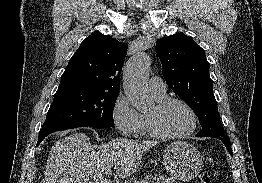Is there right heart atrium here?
<instances>
[{
    "label": "right heart atrium",
    "mask_w": 262,
    "mask_h": 183,
    "mask_svg": "<svg viewBox=\"0 0 262 183\" xmlns=\"http://www.w3.org/2000/svg\"><path fill=\"white\" fill-rule=\"evenodd\" d=\"M111 116L116 130L123 136H135L141 127V114L122 94L115 99Z\"/></svg>",
    "instance_id": "d8ad5b80"
}]
</instances>
